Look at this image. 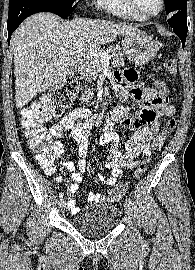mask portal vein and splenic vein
<instances>
[{
    "label": "portal vein and splenic vein",
    "mask_w": 195,
    "mask_h": 270,
    "mask_svg": "<svg viewBox=\"0 0 195 270\" xmlns=\"http://www.w3.org/2000/svg\"><path fill=\"white\" fill-rule=\"evenodd\" d=\"M78 57H86L94 61L108 62L111 56L105 51L78 50L74 53Z\"/></svg>",
    "instance_id": "portal-vein-and-splenic-vein-1"
}]
</instances>
